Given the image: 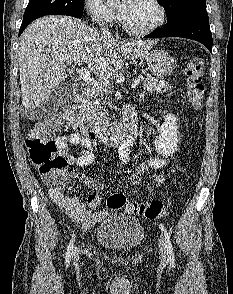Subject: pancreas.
Segmentation results:
<instances>
[{"label": "pancreas", "mask_w": 233, "mask_h": 294, "mask_svg": "<svg viewBox=\"0 0 233 294\" xmlns=\"http://www.w3.org/2000/svg\"><path fill=\"white\" fill-rule=\"evenodd\" d=\"M144 76L143 88L149 93H162L167 90H171L172 86L164 80H158L149 74L142 73ZM102 97L100 94H93L89 100L86 101L83 106V113L87 121L96 129L105 128V122L103 121L104 111H102Z\"/></svg>", "instance_id": "obj_1"}]
</instances>
